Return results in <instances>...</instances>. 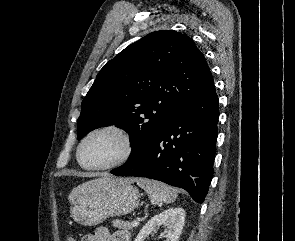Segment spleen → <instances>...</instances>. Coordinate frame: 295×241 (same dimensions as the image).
Returning a JSON list of instances; mask_svg holds the SVG:
<instances>
[{
	"mask_svg": "<svg viewBox=\"0 0 295 241\" xmlns=\"http://www.w3.org/2000/svg\"><path fill=\"white\" fill-rule=\"evenodd\" d=\"M136 183L140 188L145 190L151 203L154 205L172 203L177 197V190L162 182L139 178L136 180Z\"/></svg>",
	"mask_w": 295,
	"mask_h": 241,
	"instance_id": "3e777b00",
	"label": "spleen"
}]
</instances>
